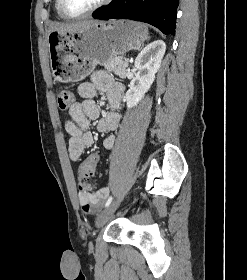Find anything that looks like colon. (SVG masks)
Returning <instances> with one entry per match:
<instances>
[{
  "label": "colon",
  "mask_w": 247,
  "mask_h": 280,
  "mask_svg": "<svg viewBox=\"0 0 247 280\" xmlns=\"http://www.w3.org/2000/svg\"><path fill=\"white\" fill-rule=\"evenodd\" d=\"M57 103L61 111H67L74 103V95L69 90H61L57 94ZM100 150L96 149L79 168V189L80 191H89L91 189L88 179L94 174L95 167L100 159Z\"/></svg>",
  "instance_id": "5ec220e1"
}]
</instances>
